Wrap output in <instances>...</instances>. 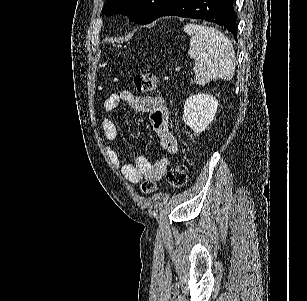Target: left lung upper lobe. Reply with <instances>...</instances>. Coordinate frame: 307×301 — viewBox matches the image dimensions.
<instances>
[{
  "mask_svg": "<svg viewBox=\"0 0 307 301\" xmlns=\"http://www.w3.org/2000/svg\"><path fill=\"white\" fill-rule=\"evenodd\" d=\"M175 0H107L102 13L107 16L115 14L127 15L130 21L137 24H148L157 19L160 14Z\"/></svg>",
  "mask_w": 307,
  "mask_h": 301,
  "instance_id": "5c2ea615",
  "label": "left lung upper lobe"
}]
</instances>
